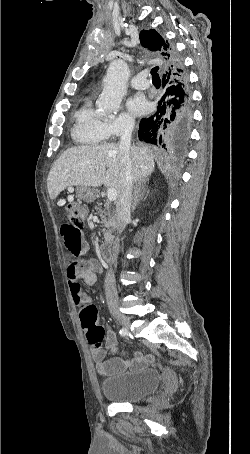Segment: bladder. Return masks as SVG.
Returning <instances> with one entry per match:
<instances>
[{
    "label": "bladder",
    "instance_id": "1",
    "mask_svg": "<svg viewBox=\"0 0 250 454\" xmlns=\"http://www.w3.org/2000/svg\"><path fill=\"white\" fill-rule=\"evenodd\" d=\"M161 373L156 368L124 372L101 382L103 396L115 403H135L157 391Z\"/></svg>",
    "mask_w": 250,
    "mask_h": 454
}]
</instances>
